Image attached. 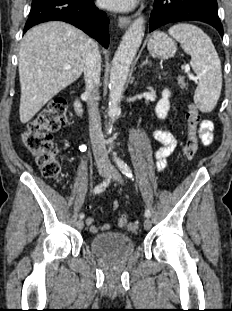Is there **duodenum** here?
<instances>
[{"mask_svg": "<svg viewBox=\"0 0 232 311\" xmlns=\"http://www.w3.org/2000/svg\"><path fill=\"white\" fill-rule=\"evenodd\" d=\"M74 106H75L76 113L78 114V116L81 117L84 113V108H83L82 103L79 100H76Z\"/></svg>", "mask_w": 232, "mask_h": 311, "instance_id": "1", "label": "duodenum"}]
</instances>
